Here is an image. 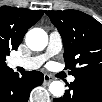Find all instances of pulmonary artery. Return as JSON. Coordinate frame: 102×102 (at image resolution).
I'll use <instances>...</instances> for the list:
<instances>
[{"instance_id": "pulmonary-artery-1", "label": "pulmonary artery", "mask_w": 102, "mask_h": 102, "mask_svg": "<svg viewBox=\"0 0 102 102\" xmlns=\"http://www.w3.org/2000/svg\"><path fill=\"white\" fill-rule=\"evenodd\" d=\"M63 48V41L60 33L58 31H54L49 35L47 52L49 55H56L61 52ZM45 61V57H36V58H18L16 60V65L18 66H34L36 68L43 65ZM68 80L73 82L75 78L73 76H69Z\"/></svg>"}]
</instances>
